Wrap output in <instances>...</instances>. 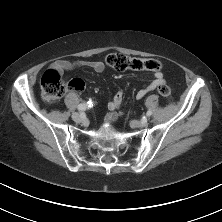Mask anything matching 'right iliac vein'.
<instances>
[{
  "mask_svg": "<svg viewBox=\"0 0 222 222\" xmlns=\"http://www.w3.org/2000/svg\"><path fill=\"white\" fill-rule=\"evenodd\" d=\"M72 119L75 122H81L83 120V116L81 114L75 112L72 114Z\"/></svg>",
  "mask_w": 222,
  "mask_h": 222,
  "instance_id": "right-iliac-vein-1",
  "label": "right iliac vein"
}]
</instances>
